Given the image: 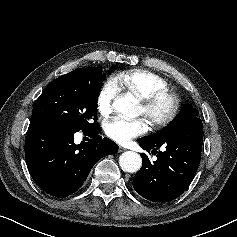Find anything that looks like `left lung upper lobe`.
Instances as JSON below:
<instances>
[{
    "mask_svg": "<svg viewBox=\"0 0 237 237\" xmlns=\"http://www.w3.org/2000/svg\"><path fill=\"white\" fill-rule=\"evenodd\" d=\"M198 116V111L193 108L191 105H184L180 110L179 114L175 117V119L164 129L161 131L143 137L147 141L151 142H160L165 140L171 136H173L178 131L182 130L185 126H187L191 121H193Z\"/></svg>",
    "mask_w": 237,
    "mask_h": 237,
    "instance_id": "1",
    "label": "left lung upper lobe"
}]
</instances>
